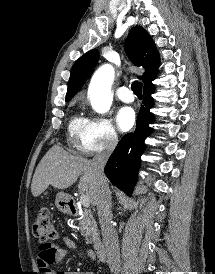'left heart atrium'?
<instances>
[{
    "mask_svg": "<svg viewBox=\"0 0 215 274\" xmlns=\"http://www.w3.org/2000/svg\"><path fill=\"white\" fill-rule=\"evenodd\" d=\"M135 122V112L130 107H122L116 115V123L121 131L130 130Z\"/></svg>",
    "mask_w": 215,
    "mask_h": 274,
    "instance_id": "left-heart-atrium-1",
    "label": "left heart atrium"
}]
</instances>
